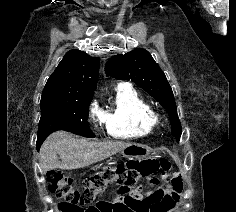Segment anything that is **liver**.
Wrapping results in <instances>:
<instances>
[{"mask_svg": "<svg viewBox=\"0 0 236 212\" xmlns=\"http://www.w3.org/2000/svg\"><path fill=\"white\" fill-rule=\"evenodd\" d=\"M129 145L131 144L120 141L96 142L85 138L77 139L67 132L58 131L51 134L42 144L40 167L43 171L83 168L111 157Z\"/></svg>", "mask_w": 236, "mask_h": 212, "instance_id": "obj_1", "label": "liver"}]
</instances>
